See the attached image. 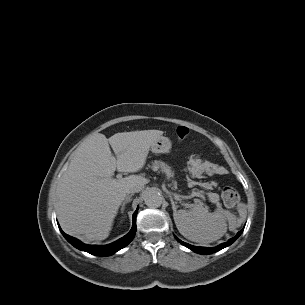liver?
I'll list each match as a JSON object with an SVG mask.
<instances>
[{
    "mask_svg": "<svg viewBox=\"0 0 305 305\" xmlns=\"http://www.w3.org/2000/svg\"><path fill=\"white\" fill-rule=\"evenodd\" d=\"M162 134L160 130H143L116 133L109 139L101 133L86 138L76 149L57 187L56 213L62 229L86 242L106 239L127 189L149 182L140 175L118 180L111 176L116 169L141 170L151 145Z\"/></svg>",
    "mask_w": 305,
    "mask_h": 305,
    "instance_id": "1",
    "label": "liver"
}]
</instances>
